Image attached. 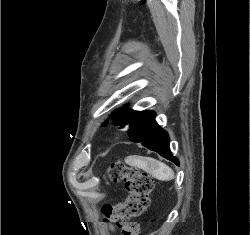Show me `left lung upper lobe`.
Returning a JSON list of instances; mask_svg holds the SVG:
<instances>
[{"instance_id": "5c2ea615", "label": "left lung upper lobe", "mask_w": 250, "mask_h": 235, "mask_svg": "<svg viewBox=\"0 0 250 235\" xmlns=\"http://www.w3.org/2000/svg\"><path fill=\"white\" fill-rule=\"evenodd\" d=\"M128 108L122 107L117 110H115L112 115L114 118V123L119 125L121 128L128 125L129 122V115H128Z\"/></svg>"}]
</instances>
